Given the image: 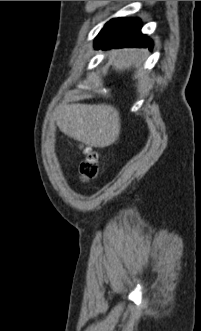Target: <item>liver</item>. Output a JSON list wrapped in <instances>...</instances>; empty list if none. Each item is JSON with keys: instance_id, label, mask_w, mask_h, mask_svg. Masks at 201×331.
Wrapping results in <instances>:
<instances>
[{"instance_id": "1", "label": "liver", "mask_w": 201, "mask_h": 331, "mask_svg": "<svg viewBox=\"0 0 201 331\" xmlns=\"http://www.w3.org/2000/svg\"><path fill=\"white\" fill-rule=\"evenodd\" d=\"M144 53L145 50L135 48L112 50V65L117 71L129 70L143 62ZM54 117L65 135L92 147H108L120 135L119 112L111 105H61L56 108Z\"/></svg>"}]
</instances>
